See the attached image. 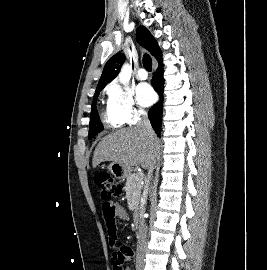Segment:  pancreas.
I'll list each match as a JSON object with an SVG mask.
<instances>
[{"mask_svg": "<svg viewBox=\"0 0 267 270\" xmlns=\"http://www.w3.org/2000/svg\"><path fill=\"white\" fill-rule=\"evenodd\" d=\"M138 173L130 174L127 177L125 191L126 198L129 203H138L141 195L142 184L141 181H138L136 178Z\"/></svg>", "mask_w": 267, "mask_h": 270, "instance_id": "obj_1", "label": "pancreas"}]
</instances>
